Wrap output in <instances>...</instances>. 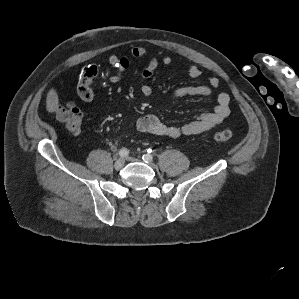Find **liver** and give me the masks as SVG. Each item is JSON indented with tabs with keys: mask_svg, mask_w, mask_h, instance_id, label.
<instances>
[{
	"mask_svg": "<svg viewBox=\"0 0 299 299\" xmlns=\"http://www.w3.org/2000/svg\"><path fill=\"white\" fill-rule=\"evenodd\" d=\"M59 97L54 88H51L46 97V109L49 113H53L58 109Z\"/></svg>",
	"mask_w": 299,
	"mask_h": 299,
	"instance_id": "1",
	"label": "liver"
}]
</instances>
